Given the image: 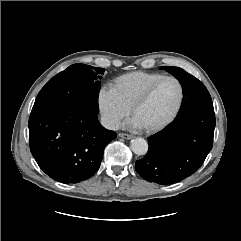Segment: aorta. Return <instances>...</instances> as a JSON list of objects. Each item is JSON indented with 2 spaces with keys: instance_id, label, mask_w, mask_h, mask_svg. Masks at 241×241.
Here are the masks:
<instances>
[{
  "instance_id": "aorta-1",
  "label": "aorta",
  "mask_w": 241,
  "mask_h": 241,
  "mask_svg": "<svg viewBox=\"0 0 241 241\" xmlns=\"http://www.w3.org/2000/svg\"><path fill=\"white\" fill-rule=\"evenodd\" d=\"M131 150L137 155H145L148 151V143L144 138L137 137L131 140Z\"/></svg>"
}]
</instances>
